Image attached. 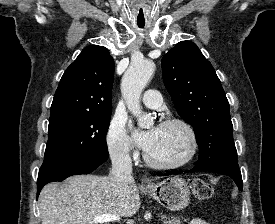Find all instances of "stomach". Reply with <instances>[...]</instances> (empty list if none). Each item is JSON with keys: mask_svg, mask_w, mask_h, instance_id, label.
<instances>
[{"mask_svg": "<svg viewBox=\"0 0 275 224\" xmlns=\"http://www.w3.org/2000/svg\"><path fill=\"white\" fill-rule=\"evenodd\" d=\"M147 191L157 202L171 211H180L190 202L189 185L180 177H171L151 184Z\"/></svg>", "mask_w": 275, "mask_h": 224, "instance_id": "stomach-1", "label": "stomach"}]
</instances>
